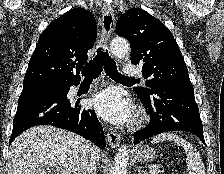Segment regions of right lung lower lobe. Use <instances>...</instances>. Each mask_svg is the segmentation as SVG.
<instances>
[{
    "mask_svg": "<svg viewBox=\"0 0 224 174\" xmlns=\"http://www.w3.org/2000/svg\"><path fill=\"white\" fill-rule=\"evenodd\" d=\"M78 83L42 85L22 90L9 144L30 127L52 125L79 134L104 149V132L95 111L83 109L79 101L67 98L70 86Z\"/></svg>",
    "mask_w": 224,
    "mask_h": 174,
    "instance_id": "1",
    "label": "right lung lower lobe"
}]
</instances>
